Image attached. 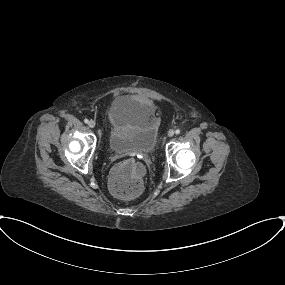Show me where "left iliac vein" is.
<instances>
[{
    "instance_id": "4c4485c4",
    "label": "left iliac vein",
    "mask_w": 285,
    "mask_h": 285,
    "mask_svg": "<svg viewBox=\"0 0 285 285\" xmlns=\"http://www.w3.org/2000/svg\"><path fill=\"white\" fill-rule=\"evenodd\" d=\"M174 130L173 129H170L169 131H168V136L169 137H172L173 135H174Z\"/></svg>"
}]
</instances>
